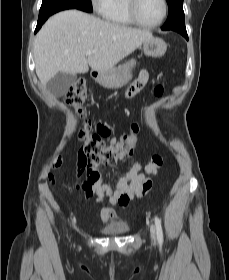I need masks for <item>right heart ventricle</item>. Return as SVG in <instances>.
Segmentation results:
<instances>
[{"label": "right heart ventricle", "mask_w": 229, "mask_h": 280, "mask_svg": "<svg viewBox=\"0 0 229 280\" xmlns=\"http://www.w3.org/2000/svg\"><path fill=\"white\" fill-rule=\"evenodd\" d=\"M103 17L107 22L116 26L129 27L134 25L127 12L126 0H112L111 6Z\"/></svg>", "instance_id": "right-heart-ventricle-1"}]
</instances>
